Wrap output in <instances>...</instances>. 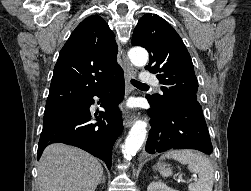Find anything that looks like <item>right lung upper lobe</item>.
<instances>
[{
	"instance_id": "right-lung-upper-lobe-1",
	"label": "right lung upper lobe",
	"mask_w": 251,
	"mask_h": 191,
	"mask_svg": "<svg viewBox=\"0 0 251 191\" xmlns=\"http://www.w3.org/2000/svg\"><path fill=\"white\" fill-rule=\"evenodd\" d=\"M117 53L115 35L100 16L83 20L60 51L45 110L77 104L122 76Z\"/></svg>"
}]
</instances>
